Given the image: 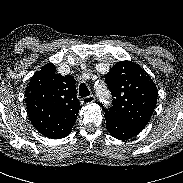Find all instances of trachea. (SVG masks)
Instances as JSON below:
<instances>
[{
    "instance_id": "3493384b",
    "label": "trachea",
    "mask_w": 183,
    "mask_h": 183,
    "mask_svg": "<svg viewBox=\"0 0 183 183\" xmlns=\"http://www.w3.org/2000/svg\"><path fill=\"white\" fill-rule=\"evenodd\" d=\"M79 95H80L81 97L90 95V91H89V89L87 88V86L85 85V83H81V84H80V86H79Z\"/></svg>"
}]
</instances>
